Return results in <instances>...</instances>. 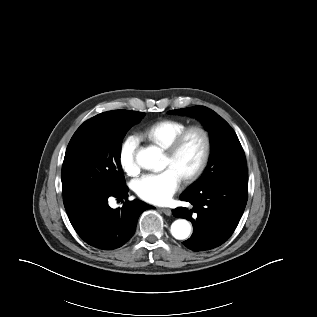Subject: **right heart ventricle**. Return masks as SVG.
Masks as SVG:
<instances>
[{
    "instance_id": "1",
    "label": "right heart ventricle",
    "mask_w": 317,
    "mask_h": 317,
    "mask_svg": "<svg viewBox=\"0 0 317 317\" xmlns=\"http://www.w3.org/2000/svg\"><path fill=\"white\" fill-rule=\"evenodd\" d=\"M186 127L188 126L185 122L164 119L145 128L142 132V137L163 149H167L175 137Z\"/></svg>"
}]
</instances>
